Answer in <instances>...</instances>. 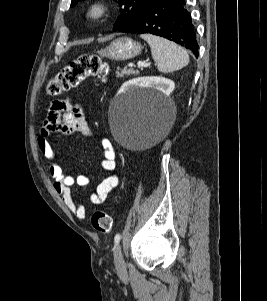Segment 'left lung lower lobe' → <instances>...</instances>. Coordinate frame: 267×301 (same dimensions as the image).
Returning a JSON list of instances; mask_svg holds the SVG:
<instances>
[{"label": "left lung lower lobe", "mask_w": 267, "mask_h": 301, "mask_svg": "<svg viewBox=\"0 0 267 301\" xmlns=\"http://www.w3.org/2000/svg\"><path fill=\"white\" fill-rule=\"evenodd\" d=\"M117 31L161 36L198 56L196 32L186 9V0H151L131 22Z\"/></svg>", "instance_id": "left-lung-lower-lobe-1"}]
</instances>
